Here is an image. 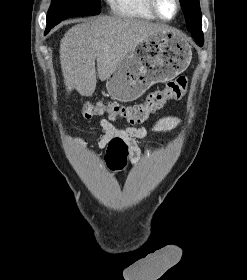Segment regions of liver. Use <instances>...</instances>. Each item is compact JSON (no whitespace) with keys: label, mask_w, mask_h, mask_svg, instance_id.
<instances>
[{"label":"liver","mask_w":247,"mask_h":280,"mask_svg":"<svg viewBox=\"0 0 247 280\" xmlns=\"http://www.w3.org/2000/svg\"><path fill=\"white\" fill-rule=\"evenodd\" d=\"M171 29L163 24L131 17H98L70 28L60 42V62L67 92L91 96L96 69L101 81L112 74L146 37Z\"/></svg>","instance_id":"1"}]
</instances>
